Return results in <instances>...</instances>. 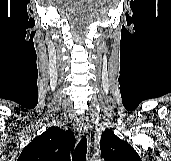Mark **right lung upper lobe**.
<instances>
[{"mask_svg": "<svg viewBox=\"0 0 171 161\" xmlns=\"http://www.w3.org/2000/svg\"><path fill=\"white\" fill-rule=\"evenodd\" d=\"M74 143L70 129L52 126L29 143L17 161H70Z\"/></svg>", "mask_w": 171, "mask_h": 161, "instance_id": "right-lung-upper-lobe-1", "label": "right lung upper lobe"}]
</instances>
